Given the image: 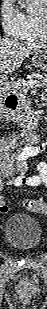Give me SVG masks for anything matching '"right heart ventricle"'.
Returning <instances> with one entry per match:
<instances>
[{
    "label": "right heart ventricle",
    "instance_id": "1",
    "mask_svg": "<svg viewBox=\"0 0 47 309\" xmlns=\"http://www.w3.org/2000/svg\"><path fill=\"white\" fill-rule=\"evenodd\" d=\"M40 16L41 13L35 12L23 15V29L18 37L20 41L33 45H40L46 41Z\"/></svg>",
    "mask_w": 47,
    "mask_h": 309
}]
</instances>
